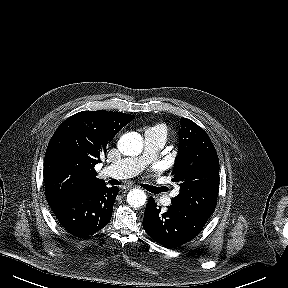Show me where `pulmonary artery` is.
I'll return each instance as SVG.
<instances>
[{
  "label": "pulmonary artery",
  "instance_id": "e3ab8cb5",
  "mask_svg": "<svg viewBox=\"0 0 288 288\" xmlns=\"http://www.w3.org/2000/svg\"><path fill=\"white\" fill-rule=\"evenodd\" d=\"M144 139L145 148L140 156L113 162L105 168L104 173L117 179H124L139 174L157 156L167 140L163 129L158 127L148 129L144 134ZM173 195L164 197L162 204L170 206Z\"/></svg>",
  "mask_w": 288,
  "mask_h": 288
}]
</instances>
